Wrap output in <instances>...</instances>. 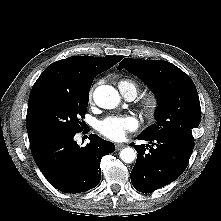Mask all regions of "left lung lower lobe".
Returning a JSON list of instances; mask_svg holds the SVG:
<instances>
[{
	"label": "left lung lower lobe",
	"instance_id": "left-lung-lower-lobe-1",
	"mask_svg": "<svg viewBox=\"0 0 221 221\" xmlns=\"http://www.w3.org/2000/svg\"><path fill=\"white\" fill-rule=\"evenodd\" d=\"M138 139L152 144L135 146L138 156L130 176L133 186L142 193H152L177 179L186 169L194 148L171 137L140 134Z\"/></svg>",
	"mask_w": 221,
	"mask_h": 221
}]
</instances>
